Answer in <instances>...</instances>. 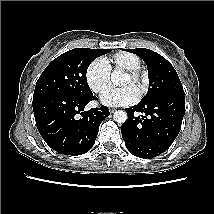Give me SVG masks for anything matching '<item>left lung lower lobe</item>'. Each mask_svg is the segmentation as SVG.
I'll return each mask as SVG.
<instances>
[{
  "label": "left lung lower lobe",
  "instance_id": "0a47b994",
  "mask_svg": "<svg viewBox=\"0 0 214 214\" xmlns=\"http://www.w3.org/2000/svg\"><path fill=\"white\" fill-rule=\"evenodd\" d=\"M126 111L128 119L121 126L126 148L134 156L150 159L165 152L179 134L185 114V97L163 96L140 102ZM134 112L143 115L134 116Z\"/></svg>",
  "mask_w": 214,
  "mask_h": 214
}]
</instances>
